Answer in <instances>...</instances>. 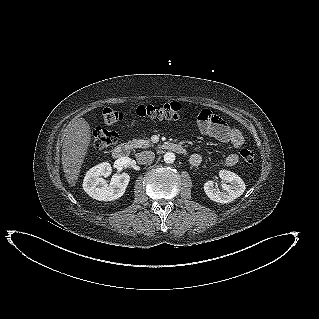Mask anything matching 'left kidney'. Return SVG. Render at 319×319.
Masks as SVG:
<instances>
[{"instance_id": "obj_1", "label": "left kidney", "mask_w": 319, "mask_h": 319, "mask_svg": "<svg viewBox=\"0 0 319 319\" xmlns=\"http://www.w3.org/2000/svg\"><path fill=\"white\" fill-rule=\"evenodd\" d=\"M219 177L223 180L222 191L215 186L213 181H207L204 184L206 195L218 203H230L240 197L245 189L244 181L234 172L228 170H220Z\"/></svg>"}]
</instances>
